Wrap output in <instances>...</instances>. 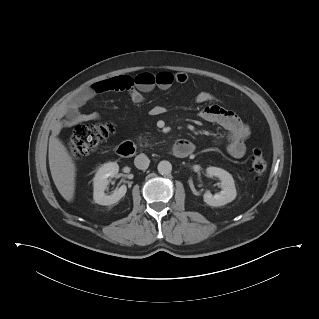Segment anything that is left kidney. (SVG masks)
<instances>
[{"instance_id":"obj_1","label":"left kidney","mask_w":319,"mask_h":319,"mask_svg":"<svg viewBox=\"0 0 319 319\" xmlns=\"http://www.w3.org/2000/svg\"><path fill=\"white\" fill-rule=\"evenodd\" d=\"M209 177H218L221 180V192L212 195L210 192L204 194V201L210 206H222L232 202L236 198V188L232 175L224 169L210 166L206 169Z\"/></svg>"}]
</instances>
